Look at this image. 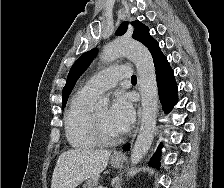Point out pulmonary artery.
Wrapping results in <instances>:
<instances>
[{"label": "pulmonary artery", "instance_id": "pulmonary-artery-1", "mask_svg": "<svg viewBox=\"0 0 224 188\" xmlns=\"http://www.w3.org/2000/svg\"><path fill=\"white\" fill-rule=\"evenodd\" d=\"M130 75L131 69L129 67H109L92 76L86 82L83 89L97 97L105 91L113 88L119 80L129 78Z\"/></svg>", "mask_w": 224, "mask_h": 188}]
</instances>
